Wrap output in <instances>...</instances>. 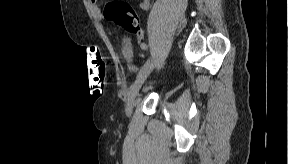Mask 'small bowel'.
<instances>
[{"instance_id":"c3829d8e","label":"small bowel","mask_w":288,"mask_h":164,"mask_svg":"<svg viewBox=\"0 0 288 164\" xmlns=\"http://www.w3.org/2000/svg\"><path fill=\"white\" fill-rule=\"evenodd\" d=\"M141 7L143 9H147L148 8V3L147 2L142 3Z\"/></svg>"}]
</instances>
